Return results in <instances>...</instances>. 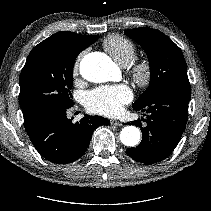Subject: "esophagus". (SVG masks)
Returning <instances> with one entry per match:
<instances>
[{"instance_id": "obj_1", "label": "esophagus", "mask_w": 211, "mask_h": 211, "mask_svg": "<svg viewBox=\"0 0 211 211\" xmlns=\"http://www.w3.org/2000/svg\"><path fill=\"white\" fill-rule=\"evenodd\" d=\"M110 123H111V125H113V126H122V123H121L120 121L116 120V119H112V120L110 121Z\"/></svg>"}]
</instances>
